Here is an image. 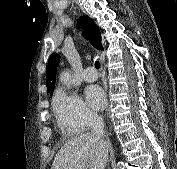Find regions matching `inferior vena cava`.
<instances>
[{
  "label": "inferior vena cava",
  "mask_w": 177,
  "mask_h": 169,
  "mask_svg": "<svg viewBox=\"0 0 177 169\" xmlns=\"http://www.w3.org/2000/svg\"><path fill=\"white\" fill-rule=\"evenodd\" d=\"M91 133L99 139L104 136V122L100 116L94 115L91 117Z\"/></svg>",
  "instance_id": "inferior-vena-cava-1"
}]
</instances>
